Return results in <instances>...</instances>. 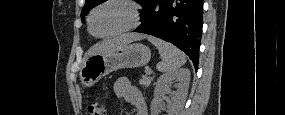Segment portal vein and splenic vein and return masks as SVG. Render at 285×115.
<instances>
[{
  "label": "portal vein and splenic vein",
  "mask_w": 285,
  "mask_h": 115,
  "mask_svg": "<svg viewBox=\"0 0 285 115\" xmlns=\"http://www.w3.org/2000/svg\"><path fill=\"white\" fill-rule=\"evenodd\" d=\"M147 74H152V71L151 70H147Z\"/></svg>",
  "instance_id": "portal-vein-and-splenic-vein-1"
}]
</instances>
